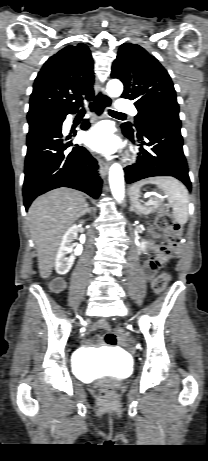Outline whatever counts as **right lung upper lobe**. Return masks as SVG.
Wrapping results in <instances>:
<instances>
[{"label": "right lung upper lobe", "instance_id": "right-lung-upper-lobe-1", "mask_svg": "<svg viewBox=\"0 0 208 461\" xmlns=\"http://www.w3.org/2000/svg\"><path fill=\"white\" fill-rule=\"evenodd\" d=\"M93 59L88 47L69 45L51 56L38 73L27 118L60 119L76 113L94 96Z\"/></svg>", "mask_w": 208, "mask_h": 461}]
</instances>
